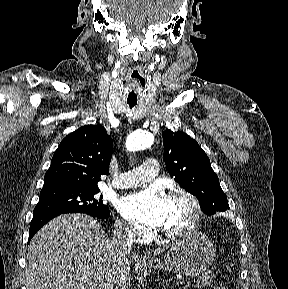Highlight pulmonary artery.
Segmentation results:
<instances>
[{
	"instance_id": "pulmonary-artery-1",
	"label": "pulmonary artery",
	"mask_w": 288,
	"mask_h": 289,
	"mask_svg": "<svg viewBox=\"0 0 288 289\" xmlns=\"http://www.w3.org/2000/svg\"><path fill=\"white\" fill-rule=\"evenodd\" d=\"M159 172L158 162L154 158L146 159L142 165L119 174L111 183L115 188H131L149 182Z\"/></svg>"
}]
</instances>
